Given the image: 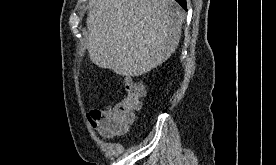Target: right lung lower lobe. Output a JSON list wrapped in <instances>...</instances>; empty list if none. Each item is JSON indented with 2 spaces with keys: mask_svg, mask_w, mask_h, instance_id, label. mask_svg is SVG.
Instances as JSON below:
<instances>
[{
  "mask_svg": "<svg viewBox=\"0 0 276 165\" xmlns=\"http://www.w3.org/2000/svg\"><path fill=\"white\" fill-rule=\"evenodd\" d=\"M184 9H186V0H176Z\"/></svg>",
  "mask_w": 276,
  "mask_h": 165,
  "instance_id": "obj_1",
  "label": "right lung lower lobe"
}]
</instances>
